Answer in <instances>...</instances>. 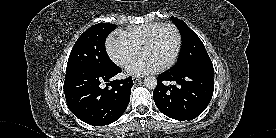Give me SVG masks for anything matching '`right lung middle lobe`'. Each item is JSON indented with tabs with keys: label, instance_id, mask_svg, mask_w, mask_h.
<instances>
[{
	"label": "right lung middle lobe",
	"instance_id": "1",
	"mask_svg": "<svg viewBox=\"0 0 276 138\" xmlns=\"http://www.w3.org/2000/svg\"><path fill=\"white\" fill-rule=\"evenodd\" d=\"M114 24L99 23L87 29L74 44L67 63L66 73L80 68L109 69L114 63L105 50V40Z\"/></svg>",
	"mask_w": 276,
	"mask_h": 138
}]
</instances>
